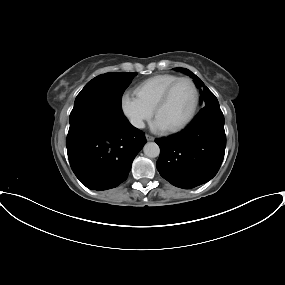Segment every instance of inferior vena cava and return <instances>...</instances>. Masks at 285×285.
Wrapping results in <instances>:
<instances>
[{
  "label": "inferior vena cava",
  "instance_id": "1",
  "mask_svg": "<svg viewBox=\"0 0 285 285\" xmlns=\"http://www.w3.org/2000/svg\"><path fill=\"white\" fill-rule=\"evenodd\" d=\"M132 125H134L137 128H144L145 124L141 119H134L131 121Z\"/></svg>",
  "mask_w": 285,
  "mask_h": 285
}]
</instances>
